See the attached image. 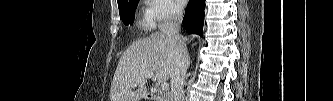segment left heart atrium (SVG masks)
<instances>
[{"label": "left heart atrium", "mask_w": 333, "mask_h": 101, "mask_svg": "<svg viewBox=\"0 0 333 101\" xmlns=\"http://www.w3.org/2000/svg\"><path fill=\"white\" fill-rule=\"evenodd\" d=\"M176 4L178 5V7L183 8V6L185 4V1H183V0H177Z\"/></svg>", "instance_id": "1"}]
</instances>
